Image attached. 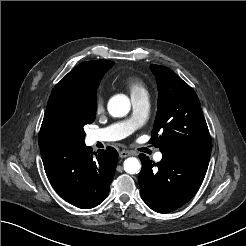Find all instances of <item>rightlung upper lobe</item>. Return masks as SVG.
<instances>
[{"label": "right lung upper lobe", "mask_w": 246, "mask_h": 246, "mask_svg": "<svg viewBox=\"0 0 246 246\" xmlns=\"http://www.w3.org/2000/svg\"><path fill=\"white\" fill-rule=\"evenodd\" d=\"M112 63L114 62L106 60L83 62L61 79L47 104L39 134V146L58 138L57 127L65 103L84 94L91 80L101 71L111 68Z\"/></svg>", "instance_id": "1"}]
</instances>
